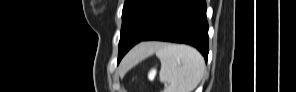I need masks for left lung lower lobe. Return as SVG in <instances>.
Listing matches in <instances>:
<instances>
[{
	"instance_id": "obj_1",
	"label": "left lung lower lobe",
	"mask_w": 296,
	"mask_h": 92,
	"mask_svg": "<svg viewBox=\"0 0 296 92\" xmlns=\"http://www.w3.org/2000/svg\"><path fill=\"white\" fill-rule=\"evenodd\" d=\"M145 40L189 44L207 60L209 48L205 0H170L156 26L142 41Z\"/></svg>"
}]
</instances>
